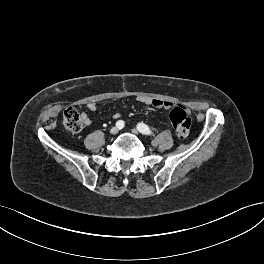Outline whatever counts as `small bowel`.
Returning <instances> with one entry per match:
<instances>
[{"instance_id":"small-bowel-1","label":"small bowel","mask_w":264,"mask_h":264,"mask_svg":"<svg viewBox=\"0 0 264 264\" xmlns=\"http://www.w3.org/2000/svg\"><path fill=\"white\" fill-rule=\"evenodd\" d=\"M139 101L141 103L153 106L155 108L170 109V108H172L174 106V103L171 102V101L160 100V99H152V98H148V97H141V98H139ZM87 108L90 111H96L97 105H96V103L92 102V103H89L87 105ZM82 116H83V121H84L85 125L89 126L91 124L90 118L86 114H83ZM119 117H120L119 114H115L114 115V118H119Z\"/></svg>"}]
</instances>
